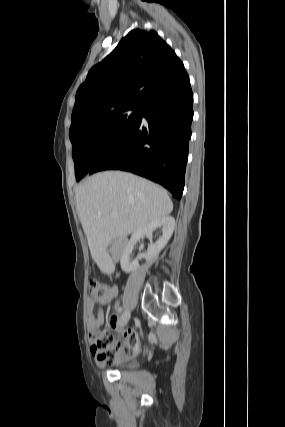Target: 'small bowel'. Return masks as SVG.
Here are the masks:
<instances>
[{
    "mask_svg": "<svg viewBox=\"0 0 285 427\" xmlns=\"http://www.w3.org/2000/svg\"><path fill=\"white\" fill-rule=\"evenodd\" d=\"M118 293L117 286L113 285L109 288V291L104 294L100 300V305L107 304L111 299H113ZM114 309L116 312H119L121 310L120 304L118 302L115 303ZM105 323V317L102 310H99L98 313H95L94 310V302L92 300L88 301V312H87V327L89 332H91L94 329H98ZM109 324L110 327L114 330H118L119 324H120V318L117 313L112 314L109 318ZM135 335V333L131 330L125 331L124 336L125 340L123 342L114 341L113 344V351H114V359L113 360H104L101 359L98 356V353L94 350V345L92 346V353L95 356L98 364L103 365L106 362H113L118 363L122 361L125 358L124 351L125 348L129 346V341L131 337Z\"/></svg>",
    "mask_w": 285,
    "mask_h": 427,
    "instance_id": "1",
    "label": "small bowel"
}]
</instances>
